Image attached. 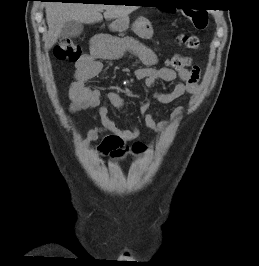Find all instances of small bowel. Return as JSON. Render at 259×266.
Returning <instances> with one entry per match:
<instances>
[{
  "mask_svg": "<svg viewBox=\"0 0 259 266\" xmlns=\"http://www.w3.org/2000/svg\"><path fill=\"white\" fill-rule=\"evenodd\" d=\"M125 54L136 57L144 64L145 67L136 70L135 75L138 80H144L149 89H152L158 81L172 82L179 77L180 82L170 92H152V98L160 104H170L184 95L194 96L199 88L200 69L198 66H194L192 69H182L177 73L167 67L157 68L155 65L158 60L154 51L136 39L110 35L95 36L92 39L89 53L81 56L76 62L75 80L69 90L71 98L69 110L74 113L98 108L101 126L88 131L83 146L87 147L98 140L102 134L109 133L97 147L98 153L102 156H116V153L123 152L127 143L138 138L140 131L136 125L124 129L108 117V107L102 103V100L105 99L114 108L122 109L125 101L119 94L115 92L103 94L99 90L90 89L85 82L99 75L102 69V60L118 58ZM182 111L181 106L175 107L171 117L176 118ZM140 113L144 124L155 132L161 133L167 126L165 121L154 119L149 103H144L141 106Z\"/></svg>",
  "mask_w": 259,
  "mask_h": 266,
  "instance_id": "1",
  "label": "small bowel"
}]
</instances>
